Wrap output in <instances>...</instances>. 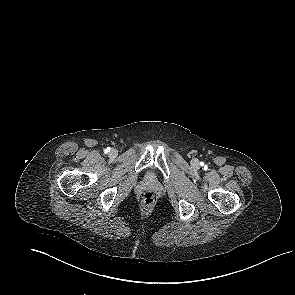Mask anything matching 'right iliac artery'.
<instances>
[{"label": "right iliac artery", "mask_w": 295, "mask_h": 295, "mask_svg": "<svg viewBox=\"0 0 295 295\" xmlns=\"http://www.w3.org/2000/svg\"><path fill=\"white\" fill-rule=\"evenodd\" d=\"M105 152L106 153L110 152V148L108 147L107 149H105Z\"/></svg>", "instance_id": "right-iliac-artery-1"}]
</instances>
